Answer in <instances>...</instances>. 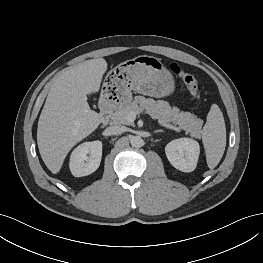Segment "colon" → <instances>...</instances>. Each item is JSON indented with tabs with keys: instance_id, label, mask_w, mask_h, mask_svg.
Wrapping results in <instances>:
<instances>
[{
	"instance_id": "obj_1",
	"label": "colon",
	"mask_w": 263,
	"mask_h": 263,
	"mask_svg": "<svg viewBox=\"0 0 263 263\" xmlns=\"http://www.w3.org/2000/svg\"><path fill=\"white\" fill-rule=\"evenodd\" d=\"M170 70L173 74H175L183 81V83L187 86V88L193 95L197 97L200 95V86L194 75L183 70L179 65L175 63H172L170 65Z\"/></svg>"
}]
</instances>
